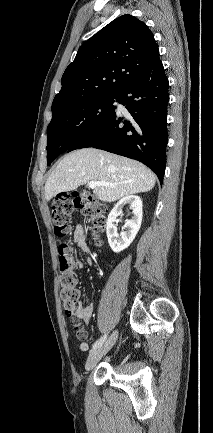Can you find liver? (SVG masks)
I'll return each instance as SVG.
<instances>
[{"label":"liver","mask_w":213,"mask_h":433,"mask_svg":"<svg viewBox=\"0 0 213 433\" xmlns=\"http://www.w3.org/2000/svg\"><path fill=\"white\" fill-rule=\"evenodd\" d=\"M155 179L153 172L138 161L94 148H84L69 153L60 161L45 184V199L50 201L61 192L96 181L112 185L95 188L96 197L103 202H114L132 194L150 191Z\"/></svg>","instance_id":"1"}]
</instances>
